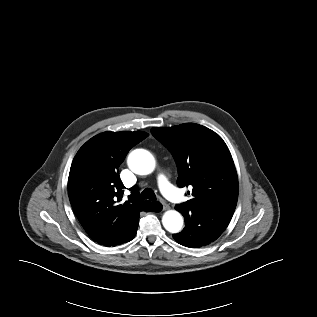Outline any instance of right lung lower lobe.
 I'll return each mask as SVG.
<instances>
[{
	"mask_svg": "<svg viewBox=\"0 0 317 317\" xmlns=\"http://www.w3.org/2000/svg\"><path fill=\"white\" fill-rule=\"evenodd\" d=\"M162 209V205L159 202L156 203H151L150 205H148L143 211L146 212H159ZM138 219H139V214L133 219V224L131 226L130 231L120 240L119 244L128 242L130 240H132L137 232V227H138ZM89 236L96 242H98L101 245L110 247L109 245V240L108 238H106L104 235H100L97 234V232L91 233L89 234ZM118 245V244H117Z\"/></svg>",
	"mask_w": 317,
	"mask_h": 317,
	"instance_id": "98d812e1",
	"label": "right lung lower lobe"
}]
</instances>
